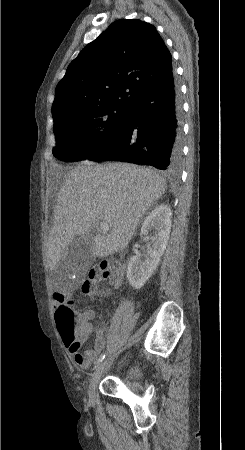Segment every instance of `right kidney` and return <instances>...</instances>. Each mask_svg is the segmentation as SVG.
<instances>
[{
  "instance_id": "ca27d5eb",
  "label": "right kidney",
  "mask_w": 245,
  "mask_h": 450,
  "mask_svg": "<svg viewBox=\"0 0 245 450\" xmlns=\"http://www.w3.org/2000/svg\"><path fill=\"white\" fill-rule=\"evenodd\" d=\"M172 212L169 206L161 204L157 206L144 220L141 233L148 236L151 231V245L147 251V257L142 260L140 255L132 256L128 263L127 279L132 287L140 289L150 278L159 265L164 253L171 230Z\"/></svg>"
}]
</instances>
